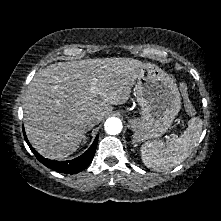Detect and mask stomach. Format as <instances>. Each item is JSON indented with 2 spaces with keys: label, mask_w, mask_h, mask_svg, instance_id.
I'll return each instance as SVG.
<instances>
[{
  "label": "stomach",
  "mask_w": 221,
  "mask_h": 221,
  "mask_svg": "<svg viewBox=\"0 0 221 221\" xmlns=\"http://www.w3.org/2000/svg\"><path fill=\"white\" fill-rule=\"evenodd\" d=\"M135 89L141 116L128 121L133 142L162 136L181 108L177 84L158 66L146 64L138 73Z\"/></svg>",
  "instance_id": "1"
}]
</instances>
